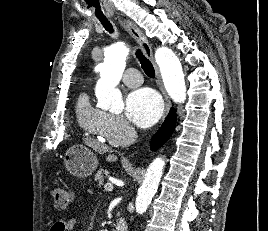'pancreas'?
I'll return each mask as SVG.
<instances>
[{"label":"pancreas","instance_id":"cf45deb5","mask_svg":"<svg viewBox=\"0 0 268 231\" xmlns=\"http://www.w3.org/2000/svg\"><path fill=\"white\" fill-rule=\"evenodd\" d=\"M105 176H108L107 170L100 169L97 171L95 175V181L97 182L98 186L103 185Z\"/></svg>","mask_w":268,"mask_h":231}]
</instances>
